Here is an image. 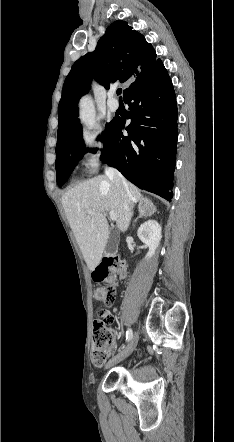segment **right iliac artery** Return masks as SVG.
Instances as JSON below:
<instances>
[{
  "label": "right iliac artery",
  "instance_id": "1",
  "mask_svg": "<svg viewBox=\"0 0 234 442\" xmlns=\"http://www.w3.org/2000/svg\"><path fill=\"white\" fill-rule=\"evenodd\" d=\"M133 337V332L131 329H128L126 332V340L130 341Z\"/></svg>",
  "mask_w": 234,
  "mask_h": 442
}]
</instances>
